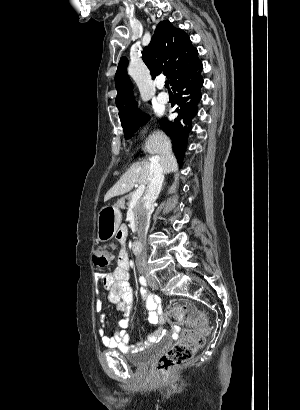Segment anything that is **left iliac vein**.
<instances>
[{
	"label": "left iliac vein",
	"mask_w": 300,
	"mask_h": 410,
	"mask_svg": "<svg viewBox=\"0 0 300 410\" xmlns=\"http://www.w3.org/2000/svg\"><path fill=\"white\" fill-rule=\"evenodd\" d=\"M148 283H149V285H150L153 289H157V288H158V283H157V281H156L153 277H151V276L148 277Z\"/></svg>",
	"instance_id": "obj_1"
}]
</instances>
